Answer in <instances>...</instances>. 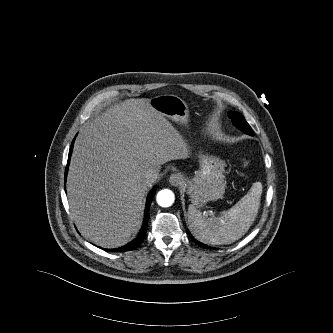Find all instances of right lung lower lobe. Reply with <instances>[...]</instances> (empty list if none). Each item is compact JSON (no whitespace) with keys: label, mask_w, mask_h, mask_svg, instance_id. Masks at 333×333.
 Wrapping results in <instances>:
<instances>
[{"label":"right lung lower lobe","mask_w":333,"mask_h":333,"mask_svg":"<svg viewBox=\"0 0 333 333\" xmlns=\"http://www.w3.org/2000/svg\"><path fill=\"white\" fill-rule=\"evenodd\" d=\"M74 142V141H73ZM73 142L71 144V148H70V151H69V156H68V164H69V160H70V156H71V152H72V148H73ZM67 169L66 168V173H65V177H66V174H67ZM155 191H156V188L154 187L151 192L149 193L148 195V198H147V203H146V209H145V219H144V223H143V226H142V229L138 235V237L133 240L132 242L128 243L127 245L123 246V247H120V248H116V249H106L107 251H112V252H125V251H130V250H133L135 248H137L139 246V244L143 241L144 237H145V234H146V230H147V223H148V220H149V207H150V204H151V201L155 195Z\"/></svg>","instance_id":"right-lung-lower-lobe-1"}]
</instances>
